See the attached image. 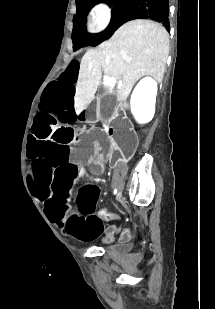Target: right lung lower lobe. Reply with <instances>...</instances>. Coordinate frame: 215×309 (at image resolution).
Listing matches in <instances>:
<instances>
[{"label":"right lung lower lobe","mask_w":215,"mask_h":309,"mask_svg":"<svg viewBox=\"0 0 215 309\" xmlns=\"http://www.w3.org/2000/svg\"><path fill=\"white\" fill-rule=\"evenodd\" d=\"M169 0H133L121 14L117 29L125 22L145 18L162 23L168 30Z\"/></svg>","instance_id":"98d812e1"}]
</instances>
